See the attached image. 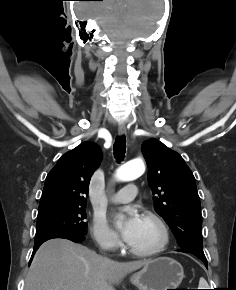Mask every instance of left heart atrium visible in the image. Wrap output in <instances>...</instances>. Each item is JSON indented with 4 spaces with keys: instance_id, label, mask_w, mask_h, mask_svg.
Wrapping results in <instances>:
<instances>
[{
    "instance_id": "left-heart-atrium-1",
    "label": "left heart atrium",
    "mask_w": 236,
    "mask_h": 290,
    "mask_svg": "<svg viewBox=\"0 0 236 290\" xmlns=\"http://www.w3.org/2000/svg\"><path fill=\"white\" fill-rule=\"evenodd\" d=\"M141 217L134 210H128L119 218L120 233L128 244L133 241L141 225Z\"/></svg>"
}]
</instances>
